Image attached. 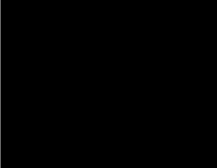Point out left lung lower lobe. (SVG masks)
<instances>
[{
    "label": "left lung lower lobe",
    "mask_w": 217,
    "mask_h": 168,
    "mask_svg": "<svg viewBox=\"0 0 217 168\" xmlns=\"http://www.w3.org/2000/svg\"><path fill=\"white\" fill-rule=\"evenodd\" d=\"M178 113V103L149 98L143 105L129 110L123 120L124 129L140 139L157 138L166 133Z\"/></svg>",
    "instance_id": "obj_1"
}]
</instances>
